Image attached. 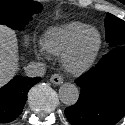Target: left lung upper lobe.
<instances>
[{
    "instance_id": "5c2ea615",
    "label": "left lung upper lobe",
    "mask_w": 125,
    "mask_h": 125,
    "mask_svg": "<svg viewBox=\"0 0 125 125\" xmlns=\"http://www.w3.org/2000/svg\"><path fill=\"white\" fill-rule=\"evenodd\" d=\"M106 42L111 48L125 45V21L107 14L105 18Z\"/></svg>"
}]
</instances>
